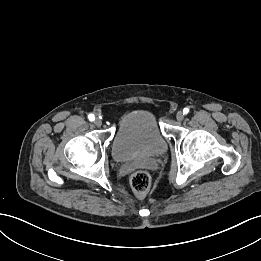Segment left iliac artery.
<instances>
[{
	"instance_id": "left-iliac-artery-1",
	"label": "left iliac artery",
	"mask_w": 261,
	"mask_h": 261,
	"mask_svg": "<svg viewBox=\"0 0 261 261\" xmlns=\"http://www.w3.org/2000/svg\"><path fill=\"white\" fill-rule=\"evenodd\" d=\"M183 113H184V114H188V113H189V109H188V108H184V109H183Z\"/></svg>"
}]
</instances>
